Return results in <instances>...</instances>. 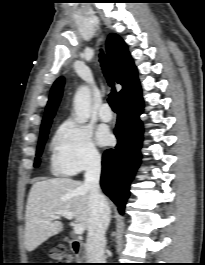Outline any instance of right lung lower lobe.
I'll return each instance as SVG.
<instances>
[{"mask_svg":"<svg viewBox=\"0 0 205 265\" xmlns=\"http://www.w3.org/2000/svg\"><path fill=\"white\" fill-rule=\"evenodd\" d=\"M143 111V99L119 106L114 133L117 137L115 149H108L102 157L101 187L104 193L124 213L129 197V185L139 166L143 125L139 119Z\"/></svg>","mask_w":205,"mask_h":265,"instance_id":"98d812e1","label":"right lung lower lobe"}]
</instances>
